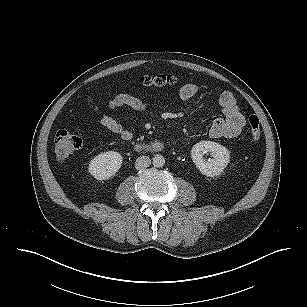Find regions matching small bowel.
Returning a JSON list of instances; mask_svg holds the SVG:
<instances>
[{
    "mask_svg": "<svg viewBox=\"0 0 307 307\" xmlns=\"http://www.w3.org/2000/svg\"><path fill=\"white\" fill-rule=\"evenodd\" d=\"M199 92V86L194 83H187L180 89V97L183 100L193 98ZM219 104L222 108L223 117L215 118L210 127L209 135L213 138H235L245 124V119L239 111L237 102L230 92H222L219 96ZM127 106L137 112H144L148 108L147 102L131 94H119L108 104L109 110ZM100 124L110 132L118 135L123 141L130 142L133 133L127 130L119 121L108 114L100 117Z\"/></svg>",
    "mask_w": 307,
    "mask_h": 307,
    "instance_id": "c3829d8e",
    "label": "small bowel"
}]
</instances>
